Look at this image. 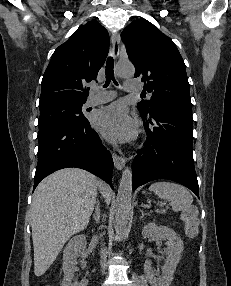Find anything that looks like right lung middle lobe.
<instances>
[{"label": "right lung middle lobe", "instance_id": "right-lung-middle-lobe-1", "mask_svg": "<svg viewBox=\"0 0 231 286\" xmlns=\"http://www.w3.org/2000/svg\"><path fill=\"white\" fill-rule=\"evenodd\" d=\"M85 102L63 101L40 107L39 130L63 121L85 120L82 113V104Z\"/></svg>", "mask_w": 231, "mask_h": 286}]
</instances>
